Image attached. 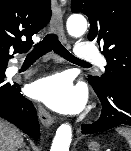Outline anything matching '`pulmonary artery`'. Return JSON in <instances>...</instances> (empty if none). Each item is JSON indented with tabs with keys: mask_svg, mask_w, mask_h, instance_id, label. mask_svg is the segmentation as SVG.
Returning a JSON list of instances; mask_svg holds the SVG:
<instances>
[{
	"mask_svg": "<svg viewBox=\"0 0 131 151\" xmlns=\"http://www.w3.org/2000/svg\"><path fill=\"white\" fill-rule=\"evenodd\" d=\"M75 55L84 62H93L100 68L106 65L105 59L97 52L95 46L89 42H81L76 46Z\"/></svg>",
	"mask_w": 131,
	"mask_h": 151,
	"instance_id": "e3ab8cb5",
	"label": "pulmonary artery"
}]
</instances>
